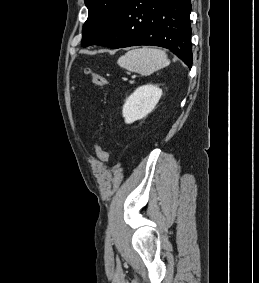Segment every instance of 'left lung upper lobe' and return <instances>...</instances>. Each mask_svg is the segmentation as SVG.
I'll return each instance as SVG.
<instances>
[{
  "label": "left lung upper lobe",
  "mask_w": 259,
  "mask_h": 283,
  "mask_svg": "<svg viewBox=\"0 0 259 283\" xmlns=\"http://www.w3.org/2000/svg\"><path fill=\"white\" fill-rule=\"evenodd\" d=\"M89 15L83 25V47L94 45L111 30L128 0H84Z\"/></svg>",
  "instance_id": "1"
}]
</instances>
